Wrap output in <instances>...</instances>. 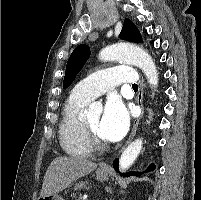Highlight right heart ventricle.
<instances>
[{"label": "right heart ventricle", "mask_w": 201, "mask_h": 200, "mask_svg": "<svg viewBox=\"0 0 201 200\" xmlns=\"http://www.w3.org/2000/svg\"><path fill=\"white\" fill-rule=\"evenodd\" d=\"M88 103V100L71 93L64 104L58 133L61 148L70 156L84 157L92 152L86 144L80 118L82 110Z\"/></svg>", "instance_id": "1"}]
</instances>
